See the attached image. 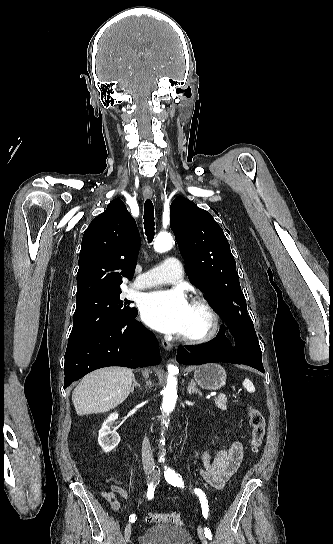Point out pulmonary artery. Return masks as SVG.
Returning <instances> with one entry per match:
<instances>
[{"instance_id": "pulmonary-artery-1", "label": "pulmonary artery", "mask_w": 333, "mask_h": 544, "mask_svg": "<svg viewBox=\"0 0 333 544\" xmlns=\"http://www.w3.org/2000/svg\"><path fill=\"white\" fill-rule=\"evenodd\" d=\"M183 276V268L180 261L174 257L166 258L160 265L140 275L133 282L134 289H146L161 284H169L179 281Z\"/></svg>"}]
</instances>
